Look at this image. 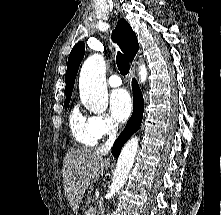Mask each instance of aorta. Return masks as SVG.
I'll return each mask as SVG.
<instances>
[{
	"instance_id": "obj_1",
	"label": "aorta",
	"mask_w": 221,
	"mask_h": 215,
	"mask_svg": "<svg viewBox=\"0 0 221 215\" xmlns=\"http://www.w3.org/2000/svg\"><path fill=\"white\" fill-rule=\"evenodd\" d=\"M139 79L144 83L147 79L145 64L138 68ZM106 64L102 55L94 54L83 64L79 77L80 96L86 108L96 114H102L108 107V92L106 85ZM139 146L138 137L127 141L120 152L116 169L108 191L112 197L126 183L129 171L133 167L135 156Z\"/></svg>"
}]
</instances>
